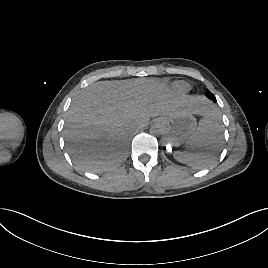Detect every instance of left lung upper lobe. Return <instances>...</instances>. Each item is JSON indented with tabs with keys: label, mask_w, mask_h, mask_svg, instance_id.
Instances as JSON below:
<instances>
[{
	"label": "left lung upper lobe",
	"mask_w": 268,
	"mask_h": 268,
	"mask_svg": "<svg viewBox=\"0 0 268 268\" xmlns=\"http://www.w3.org/2000/svg\"><path fill=\"white\" fill-rule=\"evenodd\" d=\"M206 97L213 100V101H216V98L215 96L211 93V92H206Z\"/></svg>",
	"instance_id": "obj_1"
}]
</instances>
